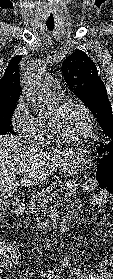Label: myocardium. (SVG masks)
I'll use <instances>...</instances> for the list:
<instances>
[{
  "label": "myocardium",
  "mask_w": 113,
  "mask_h": 279,
  "mask_svg": "<svg viewBox=\"0 0 113 279\" xmlns=\"http://www.w3.org/2000/svg\"><path fill=\"white\" fill-rule=\"evenodd\" d=\"M70 104H75L78 105L83 112L85 113L86 117H87V129L86 131L77 137H67V136H63L57 129V127L55 126V124L53 123V121L50 118H47L46 122L47 125L49 127V130L53 136V138L61 143H67V144H73V143H80L83 142L85 140H87L94 129V117L91 113V111L89 110V108L79 99L76 98H66V99H62L60 101H58L55 106H54V110L55 111H60L62 109H64L65 107H67Z\"/></svg>",
  "instance_id": "f54148a6"
}]
</instances>
